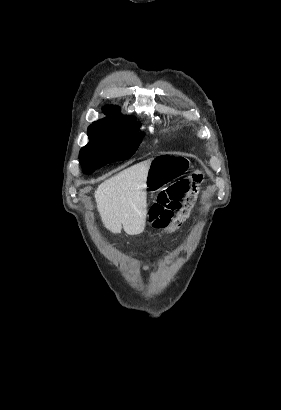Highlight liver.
Returning a JSON list of instances; mask_svg holds the SVG:
<instances>
[{"label":"liver","mask_w":281,"mask_h":410,"mask_svg":"<svg viewBox=\"0 0 281 410\" xmlns=\"http://www.w3.org/2000/svg\"><path fill=\"white\" fill-rule=\"evenodd\" d=\"M152 159L137 163L101 183L94 193L106 229L114 234L122 228L128 235L142 233L146 225V180Z\"/></svg>","instance_id":"1"}]
</instances>
